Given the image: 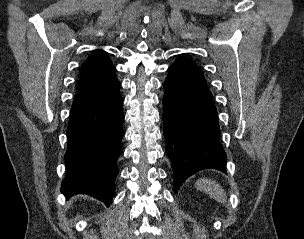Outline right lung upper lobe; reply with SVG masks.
<instances>
[{
	"label": "right lung upper lobe",
	"instance_id": "cb5924a9",
	"mask_svg": "<svg viewBox=\"0 0 304 239\" xmlns=\"http://www.w3.org/2000/svg\"><path fill=\"white\" fill-rule=\"evenodd\" d=\"M114 70L115 68L107 53L103 50L96 51L83 64L79 90H83L95 84Z\"/></svg>",
	"mask_w": 304,
	"mask_h": 239
}]
</instances>
